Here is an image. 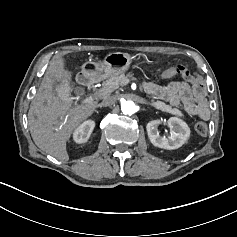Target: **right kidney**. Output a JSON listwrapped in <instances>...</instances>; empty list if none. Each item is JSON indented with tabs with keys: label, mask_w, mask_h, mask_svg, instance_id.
<instances>
[{
	"label": "right kidney",
	"mask_w": 237,
	"mask_h": 237,
	"mask_svg": "<svg viewBox=\"0 0 237 237\" xmlns=\"http://www.w3.org/2000/svg\"><path fill=\"white\" fill-rule=\"evenodd\" d=\"M94 128V123L92 121L85 122L80 126L74 134V140L78 143H84L88 140L92 130Z\"/></svg>",
	"instance_id": "ca27d5eb"
}]
</instances>
